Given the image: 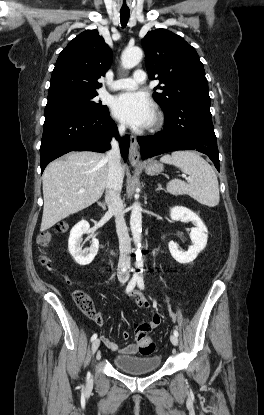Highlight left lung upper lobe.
I'll return each mask as SVG.
<instances>
[{
	"label": "left lung upper lobe",
	"instance_id": "1",
	"mask_svg": "<svg viewBox=\"0 0 264 415\" xmlns=\"http://www.w3.org/2000/svg\"><path fill=\"white\" fill-rule=\"evenodd\" d=\"M151 79H159L154 100L167 111L187 99L208 100V83L195 49L166 29L150 31L142 39Z\"/></svg>",
	"mask_w": 264,
	"mask_h": 415
}]
</instances>
